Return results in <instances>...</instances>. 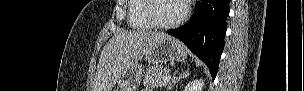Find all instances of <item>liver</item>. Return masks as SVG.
<instances>
[{
	"label": "liver",
	"instance_id": "1",
	"mask_svg": "<svg viewBox=\"0 0 304 91\" xmlns=\"http://www.w3.org/2000/svg\"><path fill=\"white\" fill-rule=\"evenodd\" d=\"M167 37L165 33L146 31L115 33L101 52L93 91H111L123 70L146 58L151 48Z\"/></svg>",
	"mask_w": 304,
	"mask_h": 91
}]
</instances>
